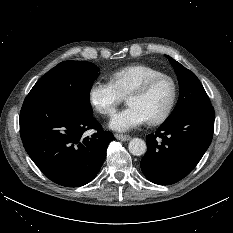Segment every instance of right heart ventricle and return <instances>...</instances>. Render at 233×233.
<instances>
[{"mask_svg":"<svg viewBox=\"0 0 233 233\" xmlns=\"http://www.w3.org/2000/svg\"><path fill=\"white\" fill-rule=\"evenodd\" d=\"M162 74V72L154 67L145 64H132L115 70L110 80L117 90L126 96L137 85L144 80Z\"/></svg>","mask_w":233,"mask_h":233,"instance_id":"e07e8e85","label":"right heart ventricle"}]
</instances>
